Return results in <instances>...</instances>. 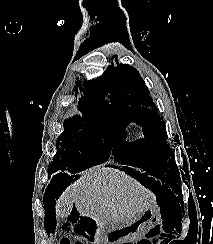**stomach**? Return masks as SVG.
I'll return each mask as SVG.
<instances>
[{"instance_id":"obj_1","label":"stomach","mask_w":213,"mask_h":244,"mask_svg":"<svg viewBox=\"0 0 213 244\" xmlns=\"http://www.w3.org/2000/svg\"><path fill=\"white\" fill-rule=\"evenodd\" d=\"M162 221L156 207L142 209L132 218L124 221H104L97 223L96 231L103 228L107 234H101V239H92V244H127V239L143 235Z\"/></svg>"}]
</instances>
